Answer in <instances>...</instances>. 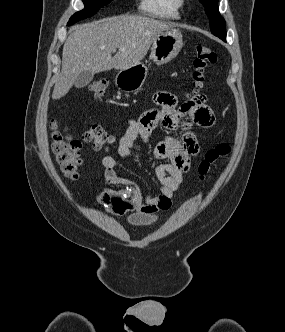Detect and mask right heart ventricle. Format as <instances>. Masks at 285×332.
I'll return each mask as SVG.
<instances>
[{
	"instance_id": "1",
	"label": "right heart ventricle",
	"mask_w": 285,
	"mask_h": 332,
	"mask_svg": "<svg viewBox=\"0 0 285 332\" xmlns=\"http://www.w3.org/2000/svg\"><path fill=\"white\" fill-rule=\"evenodd\" d=\"M138 10L146 16L161 20H176L180 17L175 0H140Z\"/></svg>"
}]
</instances>
